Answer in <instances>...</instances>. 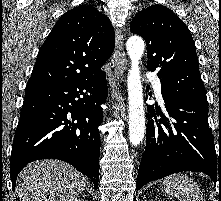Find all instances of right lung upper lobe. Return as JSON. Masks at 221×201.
I'll return each instance as SVG.
<instances>
[{
	"label": "right lung upper lobe",
	"mask_w": 221,
	"mask_h": 201,
	"mask_svg": "<svg viewBox=\"0 0 221 201\" xmlns=\"http://www.w3.org/2000/svg\"><path fill=\"white\" fill-rule=\"evenodd\" d=\"M110 20L93 6L63 14L38 52L27 85H58L104 74L114 50Z\"/></svg>",
	"instance_id": "obj_1"
}]
</instances>
